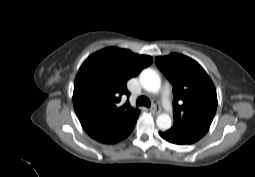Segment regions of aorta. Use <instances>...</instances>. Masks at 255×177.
I'll return each instance as SVG.
<instances>
[{"label": "aorta", "mask_w": 255, "mask_h": 177, "mask_svg": "<svg viewBox=\"0 0 255 177\" xmlns=\"http://www.w3.org/2000/svg\"><path fill=\"white\" fill-rule=\"evenodd\" d=\"M140 82L143 88L150 93H157L160 91L161 79L154 69H144L140 74ZM156 124L161 130H168L172 125L171 118L168 114H161L157 117Z\"/></svg>", "instance_id": "aorta-1"}]
</instances>
